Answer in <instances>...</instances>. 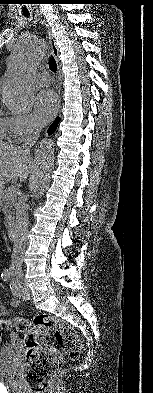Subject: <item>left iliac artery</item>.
I'll return each mask as SVG.
<instances>
[{
  "instance_id": "left-iliac-artery-1",
  "label": "left iliac artery",
  "mask_w": 153,
  "mask_h": 393,
  "mask_svg": "<svg viewBox=\"0 0 153 393\" xmlns=\"http://www.w3.org/2000/svg\"><path fill=\"white\" fill-rule=\"evenodd\" d=\"M11 285H12V287H11ZM11 285H10V288L12 289L13 294H15V293H14V292H15L14 288L17 289L16 281H15V282L13 281V282L11 283ZM17 285H18V284H17Z\"/></svg>"
}]
</instances>
